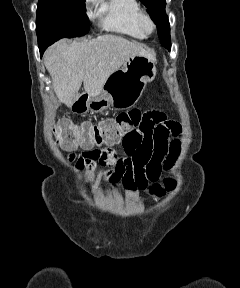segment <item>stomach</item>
<instances>
[{"label":"stomach","instance_id":"stomach-1","mask_svg":"<svg viewBox=\"0 0 240 288\" xmlns=\"http://www.w3.org/2000/svg\"><path fill=\"white\" fill-rule=\"evenodd\" d=\"M156 75V60L152 57L134 55L121 69L114 72L104 83L101 93L90 98L88 107L92 112H101L109 107L126 109L140 99L145 86Z\"/></svg>","mask_w":240,"mask_h":288}]
</instances>
